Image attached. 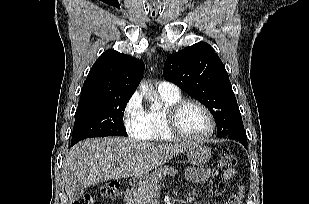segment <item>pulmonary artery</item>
I'll list each match as a JSON object with an SVG mask.
<instances>
[{"label":"pulmonary artery","mask_w":309,"mask_h":204,"mask_svg":"<svg viewBox=\"0 0 309 204\" xmlns=\"http://www.w3.org/2000/svg\"><path fill=\"white\" fill-rule=\"evenodd\" d=\"M157 90L161 94L176 95L180 93L179 88L175 84L167 81L159 82L157 85Z\"/></svg>","instance_id":"e3ab8cb5"}]
</instances>
